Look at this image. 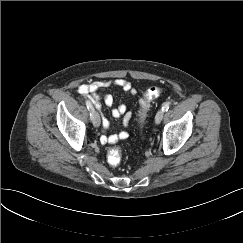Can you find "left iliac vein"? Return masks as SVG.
I'll return each mask as SVG.
<instances>
[{
  "label": "left iliac vein",
  "mask_w": 243,
  "mask_h": 243,
  "mask_svg": "<svg viewBox=\"0 0 243 243\" xmlns=\"http://www.w3.org/2000/svg\"><path fill=\"white\" fill-rule=\"evenodd\" d=\"M163 115H164V111L161 109L159 110L157 113H156V116H155V123L156 124H159L162 119H163Z\"/></svg>",
  "instance_id": "left-iliac-vein-1"
}]
</instances>
